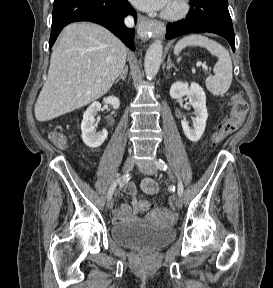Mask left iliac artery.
<instances>
[{"label":"left iliac artery","instance_id":"44dca946","mask_svg":"<svg viewBox=\"0 0 273 288\" xmlns=\"http://www.w3.org/2000/svg\"><path fill=\"white\" fill-rule=\"evenodd\" d=\"M156 167H157L158 169H160V170H163V171H167V170L169 169L168 166H167V164H166L163 160H161V159H159V160L156 161ZM183 191H184L183 184H182V182L179 180V182H178V187H177L178 195H179V196H182Z\"/></svg>","mask_w":273,"mask_h":288}]
</instances>
